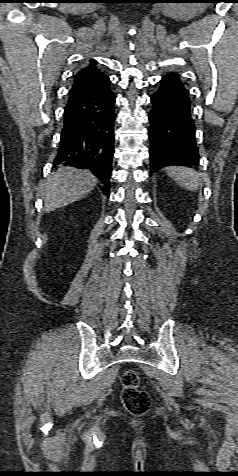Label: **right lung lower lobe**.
<instances>
[{
    "label": "right lung lower lobe",
    "mask_w": 238,
    "mask_h": 476,
    "mask_svg": "<svg viewBox=\"0 0 238 476\" xmlns=\"http://www.w3.org/2000/svg\"><path fill=\"white\" fill-rule=\"evenodd\" d=\"M115 96L106 76L80 99L67 104L54 165L89 169L109 193L114 154Z\"/></svg>",
    "instance_id": "right-lung-lower-lobe-1"
}]
</instances>
